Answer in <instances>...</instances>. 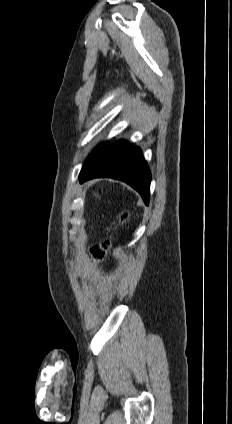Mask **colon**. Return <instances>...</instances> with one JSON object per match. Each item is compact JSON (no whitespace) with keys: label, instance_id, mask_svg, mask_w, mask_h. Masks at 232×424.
<instances>
[{"label":"colon","instance_id":"obj_1","mask_svg":"<svg viewBox=\"0 0 232 424\" xmlns=\"http://www.w3.org/2000/svg\"><path fill=\"white\" fill-rule=\"evenodd\" d=\"M127 218V214H122L120 217L121 222H124ZM109 247V243H103L99 247L92 249L91 253L95 260H101L104 257L105 250Z\"/></svg>","mask_w":232,"mask_h":424}]
</instances>
